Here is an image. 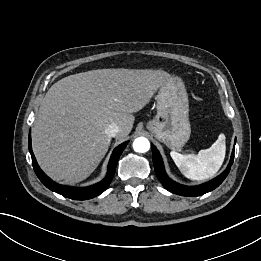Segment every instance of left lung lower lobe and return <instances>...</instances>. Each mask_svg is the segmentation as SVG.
<instances>
[{
	"label": "left lung lower lobe",
	"instance_id": "obj_1",
	"mask_svg": "<svg viewBox=\"0 0 261 261\" xmlns=\"http://www.w3.org/2000/svg\"><path fill=\"white\" fill-rule=\"evenodd\" d=\"M151 147H152V153H153L154 169H155V173H156L158 179L160 180L162 185L168 191L178 194V195H182V196H201V195L217 188L229 174L230 167L232 166L233 160H234V150H233L232 154H231L230 162L227 166V169L223 173H221L218 177H216L215 179H213L205 184L188 187V186H183V185H180V184L172 181L167 176V174L164 170L163 161H162V158H161L159 152L157 151V149L154 146H151Z\"/></svg>",
	"mask_w": 261,
	"mask_h": 261
}]
</instances>
